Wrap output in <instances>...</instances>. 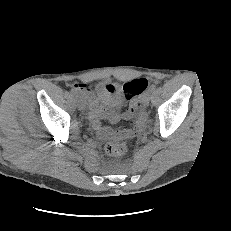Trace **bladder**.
<instances>
[{"instance_id":"bladder-1","label":"bladder","mask_w":231,"mask_h":231,"mask_svg":"<svg viewBox=\"0 0 231 231\" xmlns=\"http://www.w3.org/2000/svg\"><path fill=\"white\" fill-rule=\"evenodd\" d=\"M97 94L99 99L110 107H118L123 102L122 96L104 81L97 84Z\"/></svg>"}]
</instances>
